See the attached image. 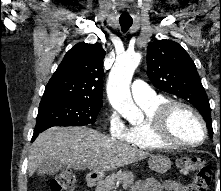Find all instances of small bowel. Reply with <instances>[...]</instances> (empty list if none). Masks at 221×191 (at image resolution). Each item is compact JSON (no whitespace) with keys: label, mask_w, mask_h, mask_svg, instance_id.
Returning <instances> with one entry per match:
<instances>
[{"label":"small bowel","mask_w":221,"mask_h":191,"mask_svg":"<svg viewBox=\"0 0 221 191\" xmlns=\"http://www.w3.org/2000/svg\"><path fill=\"white\" fill-rule=\"evenodd\" d=\"M131 191H185V185L175 180H166L161 183L153 179H146L138 181Z\"/></svg>","instance_id":"c3829d8e"}]
</instances>
